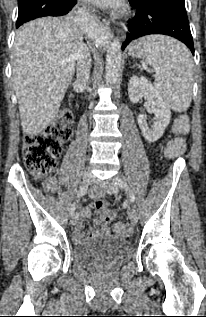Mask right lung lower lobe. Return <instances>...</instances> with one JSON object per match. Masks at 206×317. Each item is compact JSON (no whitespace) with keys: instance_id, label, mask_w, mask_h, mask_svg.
Instances as JSON below:
<instances>
[{"instance_id":"1","label":"right lung lower lobe","mask_w":206,"mask_h":317,"mask_svg":"<svg viewBox=\"0 0 206 317\" xmlns=\"http://www.w3.org/2000/svg\"><path fill=\"white\" fill-rule=\"evenodd\" d=\"M62 2L58 4L57 11L61 15L67 14L72 7L77 3V0H61Z\"/></svg>"}]
</instances>
